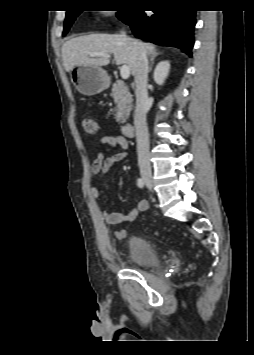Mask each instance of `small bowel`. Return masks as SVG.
<instances>
[{"mask_svg": "<svg viewBox=\"0 0 254 355\" xmlns=\"http://www.w3.org/2000/svg\"><path fill=\"white\" fill-rule=\"evenodd\" d=\"M100 147H120L126 150L129 147L128 139L122 134H109L100 138ZM127 156V153H116L110 154L105 150L101 149L97 153L95 159L91 164V172L93 174H98L102 178L108 171L112 168L114 164L120 162ZM90 195L94 200H99L100 192L97 188L93 187L90 190ZM148 209V202L144 199L137 203V206L130 210L127 214L111 212L109 210H103L101 212L103 220L110 225H118L126 222H131L136 219L139 212ZM115 237L119 240L124 239L127 235L126 230L119 229L114 233Z\"/></svg>", "mask_w": 254, "mask_h": 355, "instance_id": "obj_1", "label": "small bowel"}]
</instances>
